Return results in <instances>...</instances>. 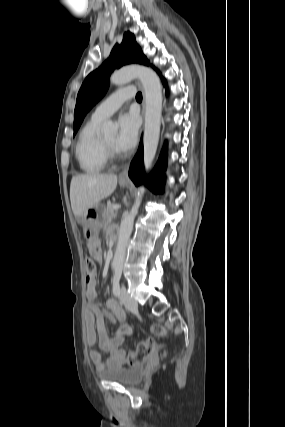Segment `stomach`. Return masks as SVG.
Returning a JSON list of instances; mask_svg holds the SVG:
<instances>
[{
    "label": "stomach",
    "instance_id": "stomach-1",
    "mask_svg": "<svg viewBox=\"0 0 285 427\" xmlns=\"http://www.w3.org/2000/svg\"><path fill=\"white\" fill-rule=\"evenodd\" d=\"M121 186H125L126 183L120 182ZM104 216L103 206L97 204L92 208H89L81 216V224L83 225L84 236L88 241L97 238L98 230L102 226Z\"/></svg>",
    "mask_w": 285,
    "mask_h": 427
}]
</instances>
